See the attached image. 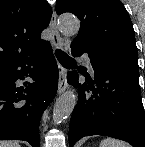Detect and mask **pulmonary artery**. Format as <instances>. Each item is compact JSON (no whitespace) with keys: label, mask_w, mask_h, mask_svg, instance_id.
<instances>
[{"label":"pulmonary artery","mask_w":145,"mask_h":147,"mask_svg":"<svg viewBox=\"0 0 145 147\" xmlns=\"http://www.w3.org/2000/svg\"><path fill=\"white\" fill-rule=\"evenodd\" d=\"M82 59L84 61V63L86 64V66L93 71L92 65H91V60L89 58V56L87 54L82 55Z\"/></svg>","instance_id":"e3ab8cb5"}]
</instances>
